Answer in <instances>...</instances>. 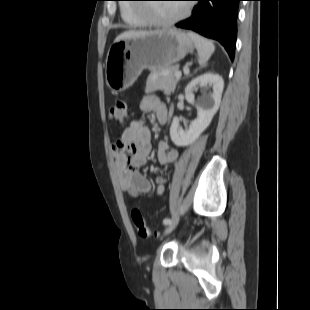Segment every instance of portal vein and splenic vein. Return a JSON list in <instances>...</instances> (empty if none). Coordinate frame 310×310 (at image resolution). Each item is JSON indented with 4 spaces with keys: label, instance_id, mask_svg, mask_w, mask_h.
<instances>
[{
    "label": "portal vein and splenic vein",
    "instance_id": "1",
    "mask_svg": "<svg viewBox=\"0 0 310 310\" xmlns=\"http://www.w3.org/2000/svg\"><path fill=\"white\" fill-rule=\"evenodd\" d=\"M174 76H175L176 78H180V77L182 76L181 71H176L175 74H174Z\"/></svg>",
    "mask_w": 310,
    "mask_h": 310
}]
</instances>
